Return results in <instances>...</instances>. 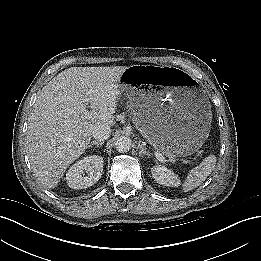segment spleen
Here are the masks:
<instances>
[{"instance_id": "obj_1", "label": "spleen", "mask_w": 261, "mask_h": 261, "mask_svg": "<svg viewBox=\"0 0 261 261\" xmlns=\"http://www.w3.org/2000/svg\"><path fill=\"white\" fill-rule=\"evenodd\" d=\"M216 160L214 155H209L199 164V166L191 169L186 180L182 184V190L188 192L201 185L213 171Z\"/></svg>"}]
</instances>
